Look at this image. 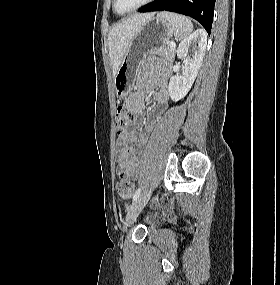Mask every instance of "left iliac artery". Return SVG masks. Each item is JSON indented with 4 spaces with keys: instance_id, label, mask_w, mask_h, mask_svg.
<instances>
[{
    "instance_id": "left-iliac-artery-1",
    "label": "left iliac artery",
    "mask_w": 280,
    "mask_h": 285,
    "mask_svg": "<svg viewBox=\"0 0 280 285\" xmlns=\"http://www.w3.org/2000/svg\"><path fill=\"white\" fill-rule=\"evenodd\" d=\"M140 193H141V188L139 187V188L135 191V193H134V195H133V201L137 200V198L139 197Z\"/></svg>"
}]
</instances>
